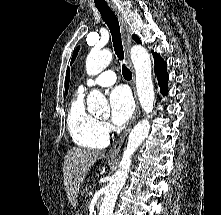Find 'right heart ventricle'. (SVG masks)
<instances>
[{
  "label": "right heart ventricle",
  "instance_id": "1",
  "mask_svg": "<svg viewBox=\"0 0 221 215\" xmlns=\"http://www.w3.org/2000/svg\"><path fill=\"white\" fill-rule=\"evenodd\" d=\"M99 120L90 114L84 103V92L73 96L67 115V127L73 142L83 148H103L107 136L101 132Z\"/></svg>",
  "mask_w": 221,
  "mask_h": 215
}]
</instances>
